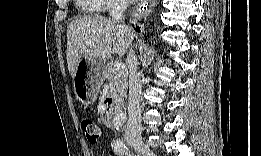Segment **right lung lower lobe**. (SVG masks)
Segmentation results:
<instances>
[{
    "label": "right lung lower lobe",
    "instance_id": "right-lung-lower-lobe-1",
    "mask_svg": "<svg viewBox=\"0 0 261 156\" xmlns=\"http://www.w3.org/2000/svg\"><path fill=\"white\" fill-rule=\"evenodd\" d=\"M136 31H140V30H139V28H138V29H136Z\"/></svg>",
    "mask_w": 261,
    "mask_h": 156
}]
</instances>
